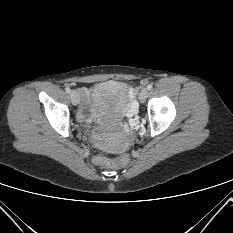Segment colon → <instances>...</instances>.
Masks as SVG:
<instances>
[{"mask_svg":"<svg viewBox=\"0 0 233 233\" xmlns=\"http://www.w3.org/2000/svg\"><path fill=\"white\" fill-rule=\"evenodd\" d=\"M94 162L98 165H109V166H116L119 164L118 160L110 159L105 156H97L94 159Z\"/></svg>","mask_w":233,"mask_h":233,"instance_id":"colon-1","label":"colon"}]
</instances>
